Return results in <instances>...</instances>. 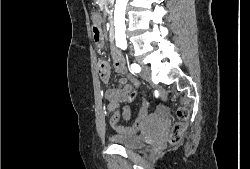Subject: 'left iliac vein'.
Returning a JSON list of instances; mask_svg holds the SVG:
<instances>
[{
    "instance_id": "1",
    "label": "left iliac vein",
    "mask_w": 250,
    "mask_h": 169,
    "mask_svg": "<svg viewBox=\"0 0 250 169\" xmlns=\"http://www.w3.org/2000/svg\"><path fill=\"white\" fill-rule=\"evenodd\" d=\"M150 72H151V70H150V68H149L148 66H143L140 75H141V77H142L144 80H146V81H148V82H151V75H150Z\"/></svg>"
}]
</instances>
